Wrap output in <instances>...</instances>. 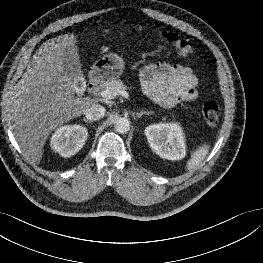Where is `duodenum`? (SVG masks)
Segmentation results:
<instances>
[{
	"label": "duodenum",
	"mask_w": 263,
	"mask_h": 263,
	"mask_svg": "<svg viewBox=\"0 0 263 263\" xmlns=\"http://www.w3.org/2000/svg\"><path fill=\"white\" fill-rule=\"evenodd\" d=\"M100 87H101V84L98 81L93 80L89 83L88 90L90 93L96 94L100 90Z\"/></svg>",
	"instance_id": "obj_1"
}]
</instances>
